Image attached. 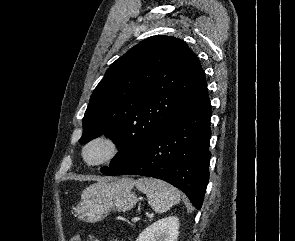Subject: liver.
I'll return each mask as SVG.
<instances>
[{
  "label": "liver",
  "instance_id": "liver-1",
  "mask_svg": "<svg viewBox=\"0 0 295 241\" xmlns=\"http://www.w3.org/2000/svg\"><path fill=\"white\" fill-rule=\"evenodd\" d=\"M127 182H128L129 184L134 185V182H133V180H131V179H127Z\"/></svg>",
  "mask_w": 295,
  "mask_h": 241
}]
</instances>
